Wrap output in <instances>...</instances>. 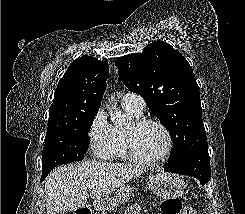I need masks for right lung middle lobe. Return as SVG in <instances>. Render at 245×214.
Instances as JSON below:
<instances>
[{
	"mask_svg": "<svg viewBox=\"0 0 245 214\" xmlns=\"http://www.w3.org/2000/svg\"><path fill=\"white\" fill-rule=\"evenodd\" d=\"M97 112L82 115L71 128L46 135L42 154V177H46L58 165L84 158L90 143L88 132Z\"/></svg>",
	"mask_w": 245,
	"mask_h": 214,
	"instance_id": "obj_1",
	"label": "right lung middle lobe"
}]
</instances>
